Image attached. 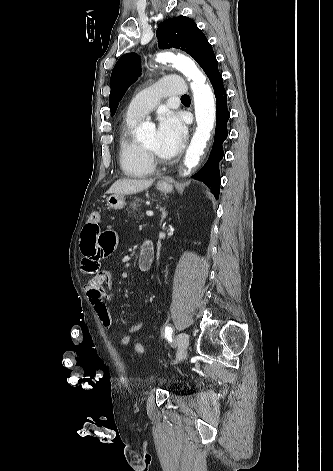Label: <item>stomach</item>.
I'll return each mask as SVG.
<instances>
[{"instance_id":"stomach-1","label":"stomach","mask_w":333,"mask_h":471,"mask_svg":"<svg viewBox=\"0 0 333 471\" xmlns=\"http://www.w3.org/2000/svg\"><path fill=\"white\" fill-rule=\"evenodd\" d=\"M157 190L162 193H170L173 186L170 182L161 180L156 184ZM125 196L123 194H112L107 198V206L111 209H122L125 206Z\"/></svg>"}]
</instances>
